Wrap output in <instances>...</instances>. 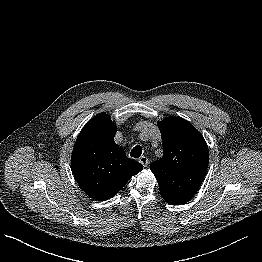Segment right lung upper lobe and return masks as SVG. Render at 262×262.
I'll return each instance as SVG.
<instances>
[{
  "instance_id": "cb5924a9",
  "label": "right lung upper lobe",
  "mask_w": 262,
  "mask_h": 262,
  "mask_svg": "<svg viewBox=\"0 0 262 262\" xmlns=\"http://www.w3.org/2000/svg\"><path fill=\"white\" fill-rule=\"evenodd\" d=\"M117 132L109 115L89 120L76 139L71 167L80 188L95 200H107L123 188L143 166L129 159L114 142Z\"/></svg>"
}]
</instances>
